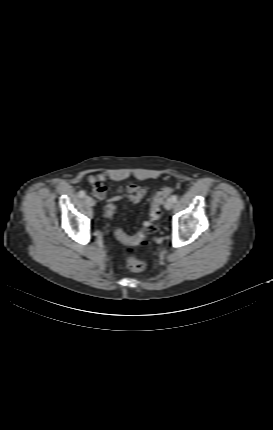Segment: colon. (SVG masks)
<instances>
[{"mask_svg": "<svg viewBox=\"0 0 273 430\" xmlns=\"http://www.w3.org/2000/svg\"><path fill=\"white\" fill-rule=\"evenodd\" d=\"M172 187H164L152 194L150 198V207L148 217L145 219L140 226L139 231L132 236L126 235L120 228L115 230L116 236L121 239H126L127 246L122 250L123 260L126 266L133 271H141L144 269V262L139 257L138 253L132 246L133 244H139L144 242L148 236L155 231L154 220H156L160 213V207L164 203L165 199L173 193ZM115 205L106 206L105 213L111 217L115 212Z\"/></svg>", "mask_w": 273, "mask_h": 430, "instance_id": "obj_1", "label": "colon"}]
</instances>
